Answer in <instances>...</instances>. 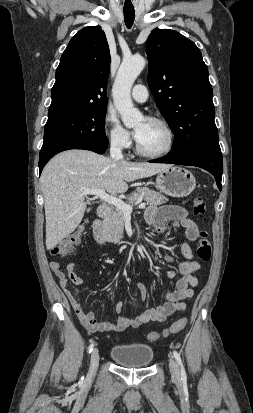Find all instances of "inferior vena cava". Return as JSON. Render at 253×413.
I'll list each match as a JSON object with an SVG mask.
<instances>
[{
    "instance_id": "obj_1",
    "label": "inferior vena cava",
    "mask_w": 253,
    "mask_h": 413,
    "mask_svg": "<svg viewBox=\"0 0 253 413\" xmlns=\"http://www.w3.org/2000/svg\"><path fill=\"white\" fill-rule=\"evenodd\" d=\"M110 156L114 161L123 160L122 142L118 139L111 141Z\"/></svg>"
}]
</instances>
